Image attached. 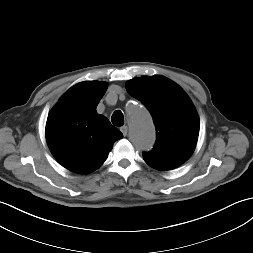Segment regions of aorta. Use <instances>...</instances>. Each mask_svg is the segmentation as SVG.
<instances>
[{"mask_svg":"<svg viewBox=\"0 0 253 253\" xmlns=\"http://www.w3.org/2000/svg\"><path fill=\"white\" fill-rule=\"evenodd\" d=\"M129 136L135 147L141 151L150 150L155 141V129L149 113L139 105L129 110Z\"/></svg>","mask_w":253,"mask_h":253,"instance_id":"aorta-1","label":"aorta"}]
</instances>
